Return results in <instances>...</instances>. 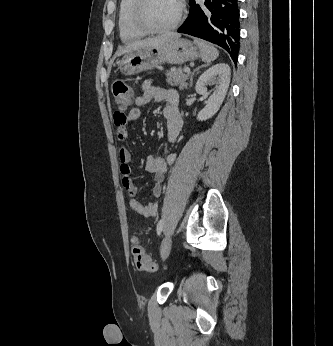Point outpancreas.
<instances>
[{"instance_id":"obj_1","label":"pancreas","mask_w":333,"mask_h":346,"mask_svg":"<svg viewBox=\"0 0 333 346\" xmlns=\"http://www.w3.org/2000/svg\"><path fill=\"white\" fill-rule=\"evenodd\" d=\"M166 81L171 86H179L180 90L187 87L186 80L189 77V73H184V69L178 68L176 71H169L166 73Z\"/></svg>"}]
</instances>
